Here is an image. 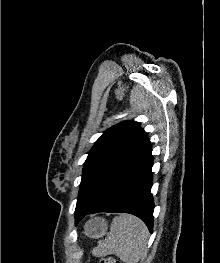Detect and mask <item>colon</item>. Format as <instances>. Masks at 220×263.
I'll list each match as a JSON object with an SVG mask.
<instances>
[{
    "label": "colon",
    "mask_w": 220,
    "mask_h": 263,
    "mask_svg": "<svg viewBox=\"0 0 220 263\" xmlns=\"http://www.w3.org/2000/svg\"><path fill=\"white\" fill-rule=\"evenodd\" d=\"M99 263H121V262L112 257H104L100 259Z\"/></svg>",
    "instance_id": "5ec220e1"
}]
</instances>
